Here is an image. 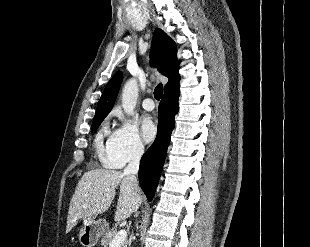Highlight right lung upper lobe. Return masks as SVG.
Listing matches in <instances>:
<instances>
[{"mask_svg":"<svg viewBox=\"0 0 310 247\" xmlns=\"http://www.w3.org/2000/svg\"><path fill=\"white\" fill-rule=\"evenodd\" d=\"M177 48L175 43L161 29H156L151 45V63L159 72L169 78L165 91L179 86L180 75L178 73ZM122 81V73L117 72L106 85L97 104L94 120L106 117L115 102ZM93 120V122H94Z\"/></svg>","mask_w":310,"mask_h":247,"instance_id":"right-lung-upper-lobe-1","label":"right lung upper lobe"}]
</instances>
